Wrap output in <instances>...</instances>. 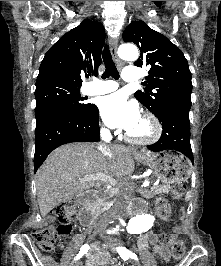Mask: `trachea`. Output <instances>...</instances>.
Instances as JSON below:
<instances>
[{
	"instance_id": "1",
	"label": "trachea",
	"mask_w": 221,
	"mask_h": 266,
	"mask_svg": "<svg viewBox=\"0 0 221 266\" xmlns=\"http://www.w3.org/2000/svg\"><path fill=\"white\" fill-rule=\"evenodd\" d=\"M103 61L105 64V72L102 75V78H108V77H113L114 79H119V73L117 71V68L112 60V56L110 53L109 46L106 45L104 50H103Z\"/></svg>"
}]
</instances>
